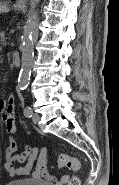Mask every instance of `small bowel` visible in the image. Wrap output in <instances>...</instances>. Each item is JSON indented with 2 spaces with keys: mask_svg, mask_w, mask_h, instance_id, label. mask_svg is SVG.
Instances as JSON below:
<instances>
[{
  "mask_svg": "<svg viewBox=\"0 0 119 185\" xmlns=\"http://www.w3.org/2000/svg\"><path fill=\"white\" fill-rule=\"evenodd\" d=\"M0 112L5 131L8 134L9 145L5 150L4 168L11 177H23L32 175L35 179L45 181L49 185H65L69 180V175H62L59 178L48 173L46 162L47 152L45 148L41 150L37 146L19 145L16 141V123L14 119V100H0ZM21 150L20 153H17ZM16 163H25L23 167H17Z\"/></svg>",
  "mask_w": 119,
  "mask_h": 185,
  "instance_id": "obj_1",
  "label": "small bowel"
}]
</instances>
